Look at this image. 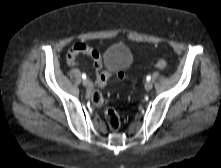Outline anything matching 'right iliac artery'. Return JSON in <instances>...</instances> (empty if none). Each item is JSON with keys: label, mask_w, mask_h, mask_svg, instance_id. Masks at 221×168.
I'll return each instance as SVG.
<instances>
[{"label": "right iliac artery", "mask_w": 221, "mask_h": 168, "mask_svg": "<svg viewBox=\"0 0 221 168\" xmlns=\"http://www.w3.org/2000/svg\"><path fill=\"white\" fill-rule=\"evenodd\" d=\"M82 78L85 80L86 79V74H82Z\"/></svg>", "instance_id": "obj_1"}]
</instances>
